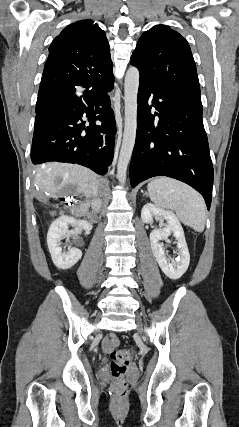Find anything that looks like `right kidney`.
I'll return each mask as SVG.
<instances>
[{
	"instance_id": "right-kidney-1",
	"label": "right kidney",
	"mask_w": 239,
	"mask_h": 427,
	"mask_svg": "<svg viewBox=\"0 0 239 427\" xmlns=\"http://www.w3.org/2000/svg\"><path fill=\"white\" fill-rule=\"evenodd\" d=\"M69 225L78 226L85 231L92 229V224L86 220H79L65 215L60 216L51 224L47 233V244L52 261L59 269L71 268L82 257L81 250L77 248H69L68 251H63L62 249L61 240L72 235V231L68 229Z\"/></svg>"
}]
</instances>
